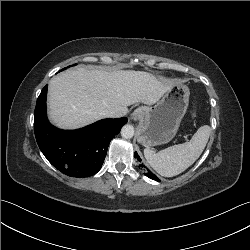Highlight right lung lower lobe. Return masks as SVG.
<instances>
[{"label":"right lung lower lobe","mask_w":250,"mask_h":250,"mask_svg":"<svg viewBox=\"0 0 250 250\" xmlns=\"http://www.w3.org/2000/svg\"><path fill=\"white\" fill-rule=\"evenodd\" d=\"M47 85L42 89L34 112V132L47 160L71 177L96 174L106 157L109 142L127 118L103 119L82 129L68 131L52 126L46 116Z\"/></svg>","instance_id":"right-lung-lower-lobe-1"}]
</instances>
